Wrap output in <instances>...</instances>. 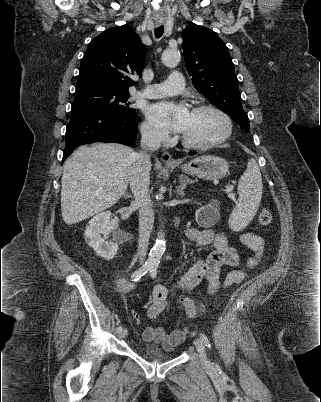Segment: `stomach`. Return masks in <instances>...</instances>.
<instances>
[{
    "label": "stomach",
    "instance_id": "stomach-1",
    "mask_svg": "<svg viewBox=\"0 0 321 402\" xmlns=\"http://www.w3.org/2000/svg\"><path fill=\"white\" fill-rule=\"evenodd\" d=\"M184 173L196 175L206 180L222 179L226 176L229 165L221 157L201 155L181 166Z\"/></svg>",
    "mask_w": 321,
    "mask_h": 402
}]
</instances>
